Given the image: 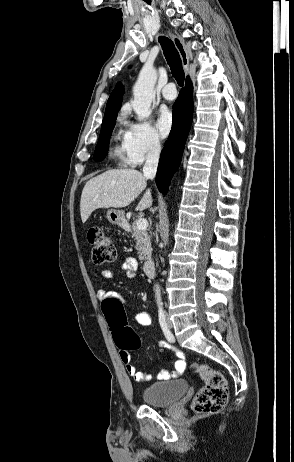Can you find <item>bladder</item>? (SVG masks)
<instances>
[{
  "instance_id": "1",
  "label": "bladder",
  "mask_w": 294,
  "mask_h": 462,
  "mask_svg": "<svg viewBox=\"0 0 294 462\" xmlns=\"http://www.w3.org/2000/svg\"><path fill=\"white\" fill-rule=\"evenodd\" d=\"M188 391V383L184 379L160 381L147 386L142 393L145 404L166 407L177 402Z\"/></svg>"
}]
</instances>
